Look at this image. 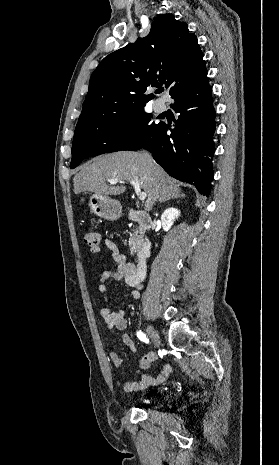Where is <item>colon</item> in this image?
<instances>
[{"label":"colon","mask_w":279,"mask_h":465,"mask_svg":"<svg viewBox=\"0 0 279 465\" xmlns=\"http://www.w3.org/2000/svg\"><path fill=\"white\" fill-rule=\"evenodd\" d=\"M84 241L90 251L96 253L100 250L101 237L97 231H90L86 233Z\"/></svg>","instance_id":"1"}]
</instances>
